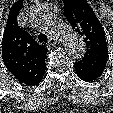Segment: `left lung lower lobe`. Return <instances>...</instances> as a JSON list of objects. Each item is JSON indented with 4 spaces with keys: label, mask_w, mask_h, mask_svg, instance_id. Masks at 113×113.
<instances>
[{
    "label": "left lung lower lobe",
    "mask_w": 113,
    "mask_h": 113,
    "mask_svg": "<svg viewBox=\"0 0 113 113\" xmlns=\"http://www.w3.org/2000/svg\"><path fill=\"white\" fill-rule=\"evenodd\" d=\"M76 74L84 81H92L100 77L104 70L85 65L81 62L74 63Z\"/></svg>",
    "instance_id": "obj_1"
}]
</instances>
